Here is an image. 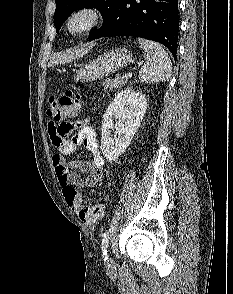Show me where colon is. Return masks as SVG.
<instances>
[{
	"label": "colon",
	"mask_w": 233,
	"mask_h": 294,
	"mask_svg": "<svg viewBox=\"0 0 233 294\" xmlns=\"http://www.w3.org/2000/svg\"><path fill=\"white\" fill-rule=\"evenodd\" d=\"M81 108V97L78 90L70 86L62 95L51 96L48 115L55 120H67L75 117ZM63 195L70 208L75 211L79 219L87 224H96L103 215L100 204L86 205L82 194L71 186L63 189Z\"/></svg>",
	"instance_id": "colon-1"
}]
</instances>
